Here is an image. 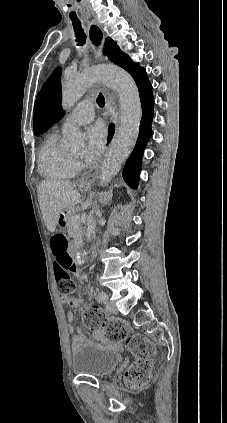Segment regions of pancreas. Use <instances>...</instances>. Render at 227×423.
Wrapping results in <instances>:
<instances>
[{"label":"pancreas","instance_id":"1","mask_svg":"<svg viewBox=\"0 0 227 423\" xmlns=\"http://www.w3.org/2000/svg\"><path fill=\"white\" fill-rule=\"evenodd\" d=\"M74 215H77V213L75 210H72L67 223V231L70 237H76L77 239V237H80L82 229L78 223H74V221H72Z\"/></svg>","mask_w":227,"mask_h":423}]
</instances>
